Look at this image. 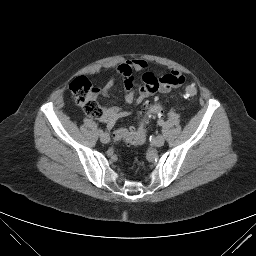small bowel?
<instances>
[{
	"label": "small bowel",
	"mask_w": 256,
	"mask_h": 256,
	"mask_svg": "<svg viewBox=\"0 0 256 256\" xmlns=\"http://www.w3.org/2000/svg\"><path fill=\"white\" fill-rule=\"evenodd\" d=\"M147 66V63L142 59L127 60L118 66V73L124 83V101L127 105L140 104L157 92L169 93L171 90L182 86L185 82V77L179 71H171L161 77H156L153 73L145 71ZM142 71H145L142 75V81L137 85L133 74L134 72ZM113 85L114 80L110 79L103 87L102 93L107 95ZM128 115V111L116 106H110L104 108L101 121L111 128L120 119Z\"/></svg>",
	"instance_id": "1"
}]
</instances>
